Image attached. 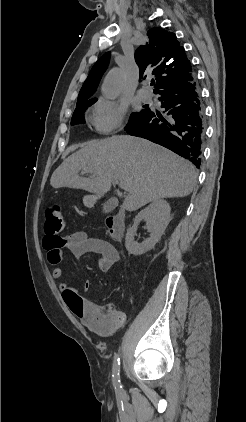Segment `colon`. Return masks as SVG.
<instances>
[{"mask_svg":"<svg viewBox=\"0 0 246 422\" xmlns=\"http://www.w3.org/2000/svg\"><path fill=\"white\" fill-rule=\"evenodd\" d=\"M65 228V219L61 205L54 203L46 209L45 229L48 234L57 235Z\"/></svg>","mask_w":246,"mask_h":422,"instance_id":"5ec220e1","label":"colon"}]
</instances>
